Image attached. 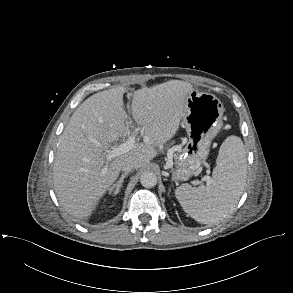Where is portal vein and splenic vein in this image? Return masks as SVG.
Here are the masks:
<instances>
[{
	"label": "portal vein and splenic vein",
	"instance_id": "1",
	"mask_svg": "<svg viewBox=\"0 0 293 293\" xmlns=\"http://www.w3.org/2000/svg\"><path fill=\"white\" fill-rule=\"evenodd\" d=\"M135 132H132L130 136H128L127 140L120 144L119 146L113 147L111 149H106L105 150V154L107 157V160L110 161L113 158H116L130 150H132L134 148V146L136 145V141H135ZM204 180L209 182L210 181V177L209 176H205Z\"/></svg>",
	"mask_w": 293,
	"mask_h": 293
}]
</instances>
